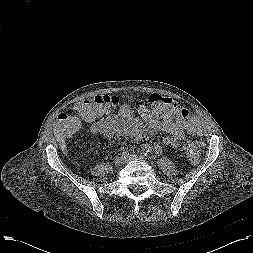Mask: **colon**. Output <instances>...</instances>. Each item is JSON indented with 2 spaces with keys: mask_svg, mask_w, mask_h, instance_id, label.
<instances>
[{
  "mask_svg": "<svg viewBox=\"0 0 253 253\" xmlns=\"http://www.w3.org/2000/svg\"><path fill=\"white\" fill-rule=\"evenodd\" d=\"M121 100L115 95H96L77 102L70 111L58 116V126L65 136L74 135L82 121L94 120L109 109L119 106ZM149 109L145 115L152 119L164 118L177 120L190 132H197L199 120L188 109L181 108L177 101L160 94H152L148 98ZM184 152L191 162H197L202 149V142L189 140L183 146Z\"/></svg>",
  "mask_w": 253,
  "mask_h": 253,
  "instance_id": "5ec220e1",
  "label": "colon"
}]
</instances>
